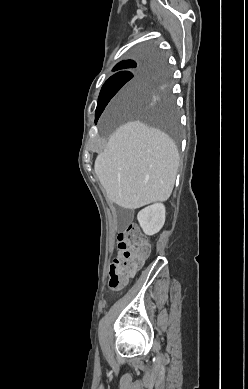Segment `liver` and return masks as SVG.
I'll list each match as a JSON object with an SVG mask.
<instances>
[{
    "label": "liver",
    "mask_w": 248,
    "mask_h": 389,
    "mask_svg": "<svg viewBox=\"0 0 248 389\" xmlns=\"http://www.w3.org/2000/svg\"><path fill=\"white\" fill-rule=\"evenodd\" d=\"M135 92L123 89L115 102L129 106ZM179 152L164 132L140 121L120 126L100 153L94 170L108 199L120 207L137 209L166 201L173 190Z\"/></svg>",
    "instance_id": "liver-1"
}]
</instances>
